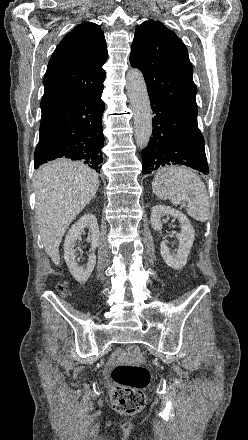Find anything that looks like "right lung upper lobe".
Returning a JSON list of instances; mask_svg holds the SVG:
<instances>
[{
    "mask_svg": "<svg viewBox=\"0 0 248 440\" xmlns=\"http://www.w3.org/2000/svg\"><path fill=\"white\" fill-rule=\"evenodd\" d=\"M104 33L99 25L83 22L58 44L43 80L41 110L79 95L103 89L107 60Z\"/></svg>",
    "mask_w": 248,
    "mask_h": 440,
    "instance_id": "1",
    "label": "right lung upper lobe"
}]
</instances>
